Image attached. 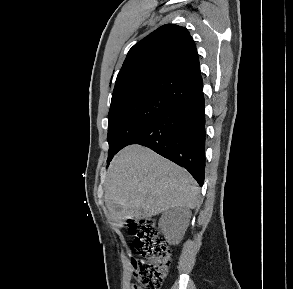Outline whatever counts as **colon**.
<instances>
[{
    "label": "colon",
    "mask_w": 293,
    "mask_h": 289,
    "mask_svg": "<svg viewBox=\"0 0 293 289\" xmlns=\"http://www.w3.org/2000/svg\"><path fill=\"white\" fill-rule=\"evenodd\" d=\"M128 228L141 254L140 259L133 260L137 281L134 289H160L171 263L170 249L159 237L152 221H130Z\"/></svg>",
    "instance_id": "5ec220e1"
}]
</instances>
